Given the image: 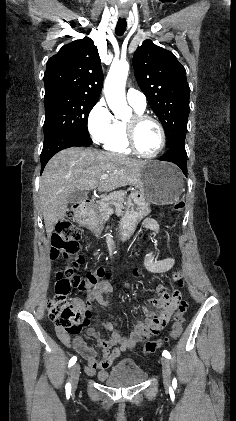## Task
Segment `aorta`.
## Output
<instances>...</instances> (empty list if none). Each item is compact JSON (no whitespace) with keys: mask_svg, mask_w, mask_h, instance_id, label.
<instances>
[{"mask_svg":"<svg viewBox=\"0 0 236 421\" xmlns=\"http://www.w3.org/2000/svg\"><path fill=\"white\" fill-rule=\"evenodd\" d=\"M129 72V62L120 60L119 64H111L110 70L104 82V92L106 100L113 110L118 114L119 104H126L125 84Z\"/></svg>","mask_w":236,"mask_h":421,"instance_id":"obj_1","label":"aorta"}]
</instances>
